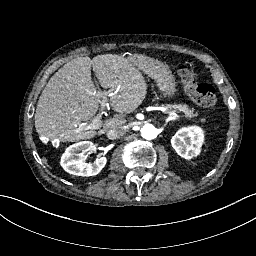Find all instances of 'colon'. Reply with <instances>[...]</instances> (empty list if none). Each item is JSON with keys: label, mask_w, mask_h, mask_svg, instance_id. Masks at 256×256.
I'll return each instance as SVG.
<instances>
[{"label": "colon", "mask_w": 256, "mask_h": 256, "mask_svg": "<svg viewBox=\"0 0 256 256\" xmlns=\"http://www.w3.org/2000/svg\"><path fill=\"white\" fill-rule=\"evenodd\" d=\"M179 77L183 90L194 102L203 108H211L216 103V90L210 84H197V73L188 65L179 67Z\"/></svg>", "instance_id": "obj_1"}]
</instances>
